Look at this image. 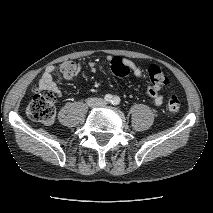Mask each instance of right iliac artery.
Returning <instances> with one entry per match:
<instances>
[{"instance_id":"obj_1","label":"right iliac artery","mask_w":213,"mask_h":213,"mask_svg":"<svg viewBox=\"0 0 213 213\" xmlns=\"http://www.w3.org/2000/svg\"><path fill=\"white\" fill-rule=\"evenodd\" d=\"M104 99H105V101H107V102H112L113 96H112L111 94H107V95H105Z\"/></svg>"}]
</instances>
